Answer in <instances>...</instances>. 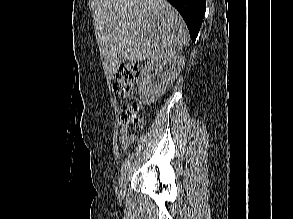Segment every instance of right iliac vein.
<instances>
[{"mask_svg": "<svg viewBox=\"0 0 293 219\" xmlns=\"http://www.w3.org/2000/svg\"><path fill=\"white\" fill-rule=\"evenodd\" d=\"M127 178H128V172H127V170H125V172L122 173V175H121V177L119 179V183H118L119 190H120L121 193L125 192L126 184H127Z\"/></svg>", "mask_w": 293, "mask_h": 219, "instance_id": "63e3f726", "label": "right iliac vein"}]
</instances>
